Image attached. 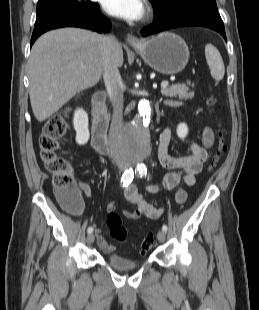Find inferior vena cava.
Here are the masks:
<instances>
[{
  "label": "inferior vena cava",
  "mask_w": 259,
  "mask_h": 310,
  "mask_svg": "<svg viewBox=\"0 0 259 310\" xmlns=\"http://www.w3.org/2000/svg\"><path fill=\"white\" fill-rule=\"evenodd\" d=\"M103 79L106 90L111 98L113 114L109 131V139L112 145V154L116 162L120 161L118 151L115 147V139L123 125V98L124 89L118 66L115 62V50L118 42L112 35L105 36L103 39Z\"/></svg>",
  "instance_id": "1"
}]
</instances>
